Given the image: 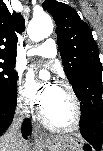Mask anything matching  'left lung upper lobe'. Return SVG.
I'll list each match as a JSON object with an SVG mask.
<instances>
[{
  "label": "left lung upper lobe",
  "mask_w": 103,
  "mask_h": 151,
  "mask_svg": "<svg viewBox=\"0 0 103 151\" xmlns=\"http://www.w3.org/2000/svg\"><path fill=\"white\" fill-rule=\"evenodd\" d=\"M42 6L57 25V42L64 71L74 87L89 70L102 69L98 46L90 28L75 9L56 0H46Z\"/></svg>",
  "instance_id": "obj_1"
}]
</instances>
